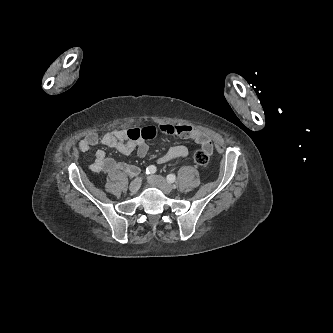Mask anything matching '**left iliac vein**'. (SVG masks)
I'll list each match as a JSON object with an SVG mask.
<instances>
[{
	"label": "left iliac vein",
	"instance_id": "1",
	"mask_svg": "<svg viewBox=\"0 0 333 333\" xmlns=\"http://www.w3.org/2000/svg\"><path fill=\"white\" fill-rule=\"evenodd\" d=\"M147 180L151 185L158 187L166 194L170 193L174 188L172 184L168 183L162 176L159 175L148 176Z\"/></svg>",
	"mask_w": 333,
	"mask_h": 333
}]
</instances>
